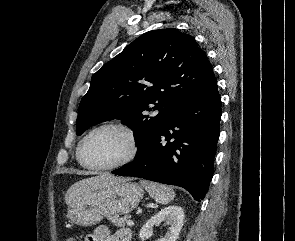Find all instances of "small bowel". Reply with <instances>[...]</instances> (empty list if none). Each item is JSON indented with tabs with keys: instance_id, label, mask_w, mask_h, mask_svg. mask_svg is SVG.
<instances>
[{
	"instance_id": "1",
	"label": "small bowel",
	"mask_w": 295,
	"mask_h": 241,
	"mask_svg": "<svg viewBox=\"0 0 295 241\" xmlns=\"http://www.w3.org/2000/svg\"><path fill=\"white\" fill-rule=\"evenodd\" d=\"M85 241H131V232L120 229L112 233L106 226H98L92 234L86 236Z\"/></svg>"
}]
</instances>
